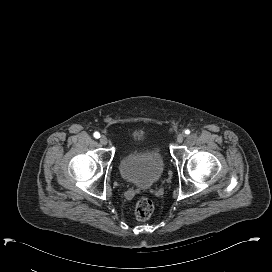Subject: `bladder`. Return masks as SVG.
Listing matches in <instances>:
<instances>
[{
	"label": "bladder",
	"instance_id": "obj_1",
	"mask_svg": "<svg viewBox=\"0 0 272 272\" xmlns=\"http://www.w3.org/2000/svg\"><path fill=\"white\" fill-rule=\"evenodd\" d=\"M131 147L120 159L118 167L127 182L149 188L157 183L163 173L162 156L145 143V135L135 132L131 136Z\"/></svg>",
	"mask_w": 272,
	"mask_h": 272
}]
</instances>
